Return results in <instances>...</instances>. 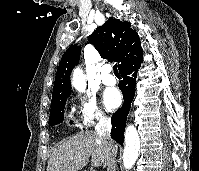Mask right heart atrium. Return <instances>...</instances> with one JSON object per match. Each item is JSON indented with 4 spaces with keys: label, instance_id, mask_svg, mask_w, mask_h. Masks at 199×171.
<instances>
[{
    "label": "right heart atrium",
    "instance_id": "d8ad5b80",
    "mask_svg": "<svg viewBox=\"0 0 199 171\" xmlns=\"http://www.w3.org/2000/svg\"><path fill=\"white\" fill-rule=\"evenodd\" d=\"M78 117L82 128H89L107 119L95 97L88 93L78 96Z\"/></svg>",
    "mask_w": 199,
    "mask_h": 171
}]
</instances>
